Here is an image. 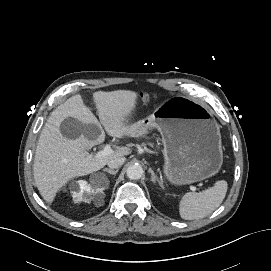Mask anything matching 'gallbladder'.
Segmentation results:
<instances>
[{
  "label": "gallbladder",
  "mask_w": 271,
  "mask_h": 271,
  "mask_svg": "<svg viewBox=\"0 0 271 271\" xmlns=\"http://www.w3.org/2000/svg\"><path fill=\"white\" fill-rule=\"evenodd\" d=\"M60 131L65 138L75 140L81 135L89 137L92 133L99 134L100 128L95 124L84 125L74 118H66L60 126Z\"/></svg>",
  "instance_id": "gallbladder-1"
}]
</instances>
